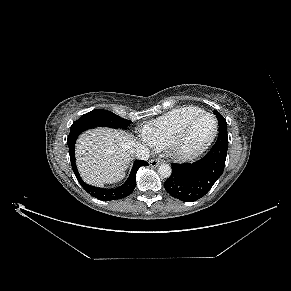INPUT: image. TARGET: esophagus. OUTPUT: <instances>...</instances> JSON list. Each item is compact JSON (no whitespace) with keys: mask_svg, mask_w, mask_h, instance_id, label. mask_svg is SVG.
Returning a JSON list of instances; mask_svg holds the SVG:
<instances>
[{"mask_svg":"<svg viewBox=\"0 0 291 291\" xmlns=\"http://www.w3.org/2000/svg\"><path fill=\"white\" fill-rule=\"evenodd\" d=\"M160 163H161V160L160 159H152V160L149 161V165L152 166V167H156Z\"/></svg>","mask_w":291,"mask_h":291,"instance_id":"esophagus-1","label":"esophagus"}]
</instances>
